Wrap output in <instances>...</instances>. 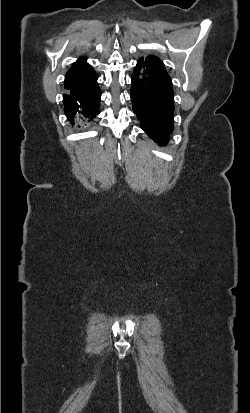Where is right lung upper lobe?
<instances>
[{
	"label": "right lung upper lobe",
	"mask_w": 250,
	"mask_h": 413,
	"mask_svg": "<svg viewBox=\"0 0 250 413\" xmlns=\"http://www.w3.org/2000/svg\"><path fill=\"white\" fill-rule=\"evenodd\" d=\"M94 70L86 62L85 58H80L76 63L70 68L65 77L66 83H78L86 78H88Z\"/></svg>",
	"instance_id": "obj_1"
}]
</instances>
